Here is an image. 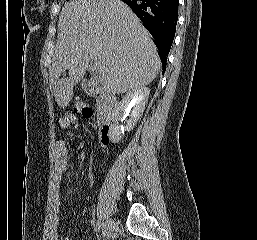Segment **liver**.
Instances as JSON below:
<instances>
[{
    "mask_svg": "<svg viewBox=\"0 0 257 240\" xmlns=\"http://www.w3.org/2000/svg\"><path fill=\"white\" fill-rule=\"evenodd\" d=\"M50 83L58 106L67 107L73 87L83 79L90 61L97 62L107 93L120 94L150 84L160 58L150 34L120 0H72L59 16ZM68 70V77L60 78Z\"/></svg>",
    "mask_w": 257,
    "mask_h": 240,
    "instance_id": "6515ba94",
    "label": "liver"
}]
</instances>
